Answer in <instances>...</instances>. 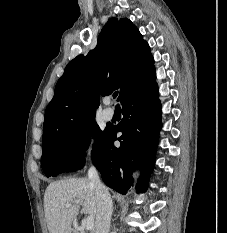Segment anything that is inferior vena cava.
Returning <instances> with one entry per match:
<instances>
[{"mask_svg": "<svg viewBox=\"0 0 227 233\" xmlns=\"http://www.w3.org/2000/svg\"><path fill=\"white\" fill-rule=\"evenodd\" d=\"M88 178L95 190L98 200V212L95 223V233H109L113 203L108 189L99 179L98 171L94 166L88 170Z\"/></svg>", "mask_w": 227, "mask_h": 233, "instance_id": "602c4592", "label": "inferior vena cava"}]
</instances>
